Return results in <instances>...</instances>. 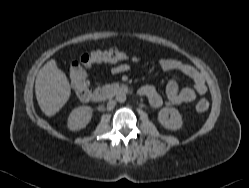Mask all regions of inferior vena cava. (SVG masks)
<instances>
[{"label": "inferior vena cava", "mask_w": 249, "mask_h": 188, "mask_svg": "<svg viewBox=\"0 0 249 188\" xmlns=\"http://www.w3.org/2000/svg\"><path fill=\"white\" fill-rule=\"evenodd\" d=\"M115 105H116V101L115 100H109L108 103H107V110L114 109Z\"/></svg>", "instance_id": "obj_1"}]
</instances>
